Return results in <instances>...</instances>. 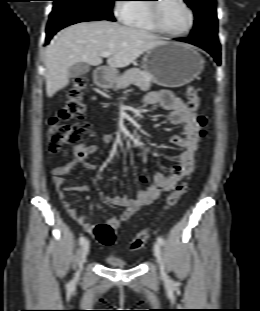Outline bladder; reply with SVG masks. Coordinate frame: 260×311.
<instances>
[{"label": "bladder", "instance_id": "31cf9c89", "mask_svg": "<svg viewBox=\"0 0 260 311\" xmlns=\"http://www.w3.org/2000/svg\"><path fill=\"white\" fill-rule=\"evenodd\" d=\"M104 262L107 263L109 266L114 268H127L129 265L122 260L119 256L115 254H107L104 257Z\"/></svg>", "mask_w": 260, "mask_h": 311}]
</instances>
